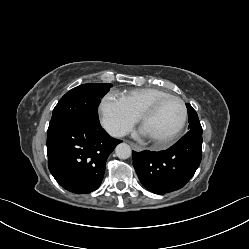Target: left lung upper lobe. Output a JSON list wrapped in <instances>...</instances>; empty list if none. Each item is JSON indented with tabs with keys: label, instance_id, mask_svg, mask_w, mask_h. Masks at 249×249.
<instances>
[{
	"label": "left lung upper lobe",
	"instance_id": "5c2ea615",
	"mask_svg": "<svg viewBox=\"0 0 249 249\" xmlns=\"http://www.w3.org/2000/svg\"><path fill=\"white\" fill-rule=\"evenodd\" d=\"M188 109V117H189V131L187 134H202V127L198 119V115L196 111L192 108V106L188 103L186 104Z\"/></svg>",
	"mask_w": 249,
	"mask_h": 249
}]
</instances>
